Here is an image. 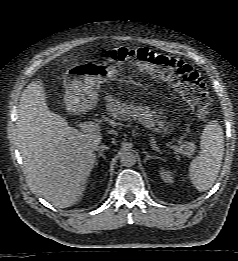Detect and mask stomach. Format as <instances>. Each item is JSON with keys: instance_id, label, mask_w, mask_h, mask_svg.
Here are the masks:
<instances>
[{"instance_id": "1", "label": "stomach", "mask_w": 238, "mask_h": 261, "mask_svg": "<svg viewBox=\"0 0 238 261\" xmlns=\"http://www.w3.org/2000/svg\"><path fill=\"white\" fill-rule=\"evenodd\" d=\"M115 70L106 65L79 64L68 68L64 75L65 104L71 111L94 108L98 100L100 84L113 77ZM159 130L168 131L164 122Z\"/></svg>"}]
</instances>
